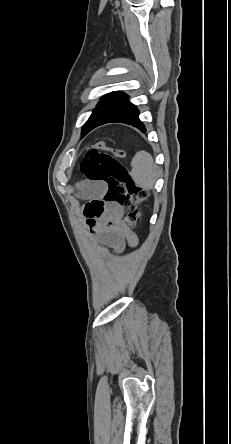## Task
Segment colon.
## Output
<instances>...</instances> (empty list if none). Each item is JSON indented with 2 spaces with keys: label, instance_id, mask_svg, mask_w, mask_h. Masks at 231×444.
I'll return each mask as SVG.
<instances>
[{
  "label": "colon",
  "instance_id": "1",
  "mask_svg": "<svg viewBox=\"0 0 231 444\" xmlns=\"http://www.w3.org/2000/svg\"><path fill=\"white\" fill-rule=\"evenodd\" d=\"M125 153L121 149L108 147L103 141L92 145L82 157L80 170L89 182L107 184L105 201L115 202L125 212V221L133 227L140 217L139 203L148 193L137 185L123 164ZM102 212V203L87 204L84 213L91 229L97 226V219Z\"/></svg>",
  "mask_w": 231,
  "mask_h": 444
}]
</instances>
